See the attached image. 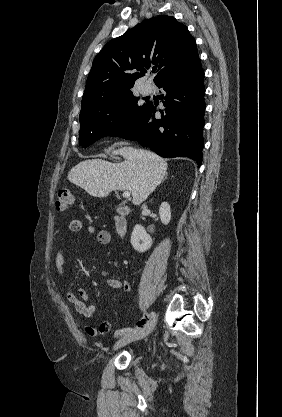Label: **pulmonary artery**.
<instances>
[{
	"label": "pulmonary artery",
	"mask_w": 282,
	"mask_h": 417,
	"mask_svg": "<svg viewBox=\"0 0 282 417\" xmlns=\"http://www.w3.org/2000/svg\"><path fill=\"white\" fill-rule=\"evenodd\" d=\"M143 92L144 93H148L149 92V89H144Z\"/></svg>",
	"instance_id": "pulmonary-artery-1"
}]
</instances>
